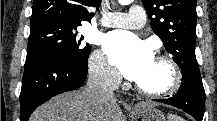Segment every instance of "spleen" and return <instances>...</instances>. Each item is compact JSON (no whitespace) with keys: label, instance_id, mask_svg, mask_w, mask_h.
Instances as JSON below:
<instances>
[{"label":"spleen","instance_id":"spleen-1","mask_svg":"<svg viewBox=\"0 0 217 121\" xmlns=\"http://www.w3.org/2000/svg\"><path fill=\"white\" fill-rule=\"evenodd\" d=\"M168 121H183V119H181L180 117H177L175 115H169Z\"/></svg>","mask_w":217,"mask_h":121}]
</instances>
